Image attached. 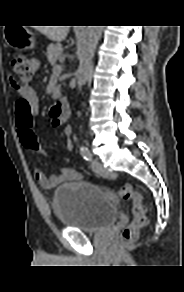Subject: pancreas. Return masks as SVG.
Wrapping results in <instances>:
<instances>
[{
  "label": "pancreas",
  "mask_w": 184,
  "mask_h": 292,
  "mask_svg": "<svg viewBox=\"0 0 184 292\" xmlns=\"http://www.w3.org/2000/svg\"><path fill=\"white\" fill-rule=\"evenodd\" d=\"M63 53L61 44L50 45L47 49V59L52 66L56 65V61L60 59Z\"/></svg>",
  "instance_id": "cf45deb5"
}]
</instances>
